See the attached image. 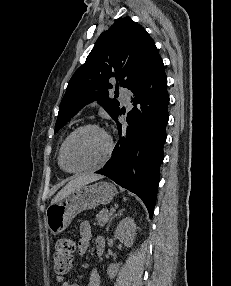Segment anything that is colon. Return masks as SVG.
<instances>
[{"label": "colon", "instance_id": "colon-1", "mask_svg": "<svg viewBox=\"0 0 231 286\" xmlns=\"http://www.w3.org/2000/svg\"><path fill=\"white\" fill-rule=\"evenodd\" d=\"M75 243L70 238H61L56 243L53 256L54 271L62 279L72 268Z\"/></svg>", "mask_w": 231, "mask_h": 286}]
</instances>
